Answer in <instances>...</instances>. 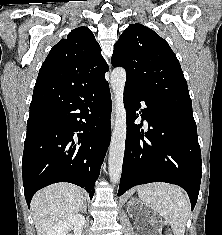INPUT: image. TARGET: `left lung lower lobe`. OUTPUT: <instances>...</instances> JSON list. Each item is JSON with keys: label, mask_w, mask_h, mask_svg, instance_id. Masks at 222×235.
I'll use <instances>...</instances> for the list:
<instances>
[{"label": "left lung lower lobe", "mask_w": 222, "mask_h": 235, "mask_svg": "<svg viewBox=\"0 0 222 235\" xmlns=\"http://www.w3.org/2000/svg\"><path fill=\"white\" fill-rule=\"evenodd\" d=\"M142 101L146 107L138 111ZM124 104L127 136L118 196L136 185L166 182L188 193L193 210L202 176L193 114L151 100L126 84ZM139 113L148 122L146 133L143 121L134 124Z\"/></svg>", "instance_id": "obj_1"}]
</instances>
